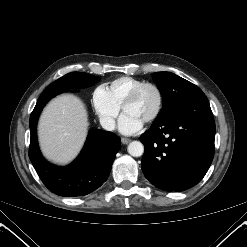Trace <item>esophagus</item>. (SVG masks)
Returning <instances> with one entry per match:
<instances>
[{"label": "esophagus", "mask_w": 247, "mask_h": 247, "mask_svg": "<svg viewBox=\"0 0 247 247\" xmlns=\"http://www.w3.org/2000/svg\"><path fill=\"white\" fill-rule=\"evenodd\" d=\"M131 140L129 138H121L123 144H128Z\"/></svg>", "instance_id": "1"}]
</instances>
